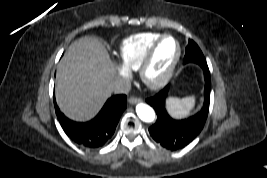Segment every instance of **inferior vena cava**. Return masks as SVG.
Wrapping results in <instances>:
<instances>
[{
  "label": "inferior vena cava",
  "mask_w": 267,
  "mask_h": 178,
  "mask_svg": "<svg viewBox=\"0 0 267 178\" xmlns=\"http://www.w3.org/2000/svg\"><path fill=\"white\" fill-rule=\"evenodd\" d=\"M131 89V84L122 79L116 78L109 86L108 91L115 94H127Z\"/></svg>",
  "instance_id": "1"
}]
</instances>
